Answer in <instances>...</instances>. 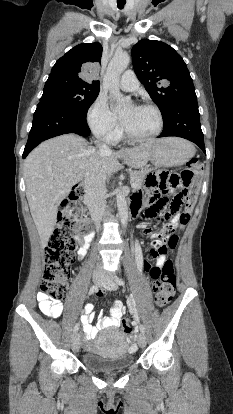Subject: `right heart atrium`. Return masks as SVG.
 Instances as JSON below:
<instances>
[{
	"label": "right heart atrium",
	"instance_id": "obj_1",
	"mask_svg": "<svg viewBox=\"0 0 233 414\" xmlns=\"http://www.w3.org/2000/svg\"><path fill=\"white\" fill-rule=\"evenodd\" d=\"M87 123L99 138L114 142L119 132L118 116L109 108L106 98L98 95L87 111Z\"/></svg>",
	"mask_w": 233,
	"mask_h": 414
}]
</instances>
